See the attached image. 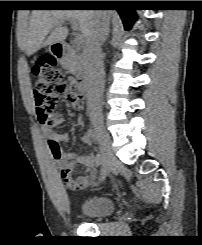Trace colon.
Wrapping results in <instances>:
<instances>
[{
    "label": "colon",
    "instance_id": "5ec220e1",
    "mask_svg": "<svg viewBox=\"0 0 202 245\" xmlns=\"http://www.w3.org/2000/svg\"><path fill=\"white\" fill-rule=\"evenodd\" d=\"M31 73L34 79V105L42 123H52V109L56 97H65L73 108L78 106L79 95L75 88L65 81L54 57L45 56L41 61L34 63ZM49 146L54 155H59L61 146L57 139H53Z\"/></svg>",
    "mask_w": 202,
    "mask_h": 245
}]
</instances>
